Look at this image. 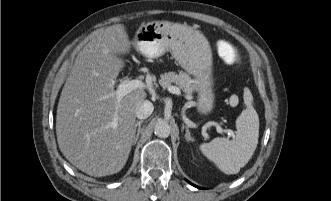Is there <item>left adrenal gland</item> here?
I'll return each mask as SVG.
<instances>
[{
    "mask_svg": "<svg viewBox=\"0 0 331 201\" xmlns=\"http://www.w3.org/2000/svg\"><path fill=\"white\" fill-rule=\"evenodd\" d=\"M183 128H184V126H183ZM185 129H186V133H185V138H186V140L187 141H191V142H193L194 141V138L193 137H191V134H190V132H189V129H188V127L187 126H185Z\"/></svg>",
    "mask_w": 331,
    "mask_h": 201,
    "instance_id": "left-adrenal-gland-1",
    "label": "left adrenal gland"
}]
</instances>
